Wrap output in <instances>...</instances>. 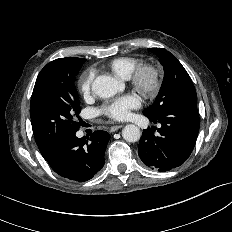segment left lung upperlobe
I'll use <instances>...</instances> for the list:
<instances>
[{
	"label": "left lung upper lobe",
	"mask_w": 232,
	"mask_h": 232,
	"mask_svg": "<svg viewBox=\"0 0 232 232\" xmlns=\"http://www.w3.org/2000/svg\"><path fill=\"white\" fill-rule=\"evenodd\" d=\"M150 51L159 57L164 69V79L155 102L143 114L158 116L179 104L197 107L195 87L178 59L163 48H152Z\"/></svg>",
	"instance_id": "5c2ea615"
}]
</instances>
